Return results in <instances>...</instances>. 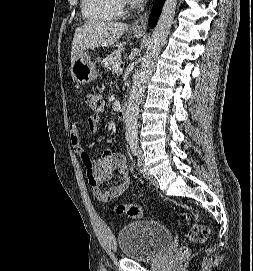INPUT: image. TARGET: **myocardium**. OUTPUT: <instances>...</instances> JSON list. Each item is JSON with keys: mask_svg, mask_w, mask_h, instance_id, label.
I'll return each mask as SVG.
<instances>
[{"mask_svg": "<svg viewBox=\"0 0 253 271\" xmlns=\"http://www.w3.org/2000/svg\"><path fill=\"white\" fill-rule=\"evenodd\" d=\"M123 5H131L132 6V0H121Z\"/></svg>", "mask_w": 253, "mask_h": 271, "instance_id": "obj_1", "label": "myocardium"}]
</instances>
